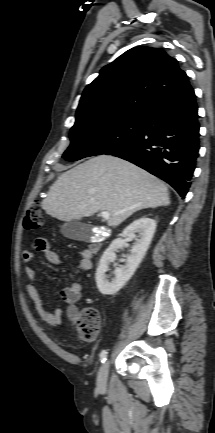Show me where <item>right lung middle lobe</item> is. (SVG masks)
Here are the masks:
<instances>
[{
	"label": "right lung middle lobe",
	"instance_id": "obj_1",
	"mask_svg": "<svg viewBox=\"0 0 215 433\" xmlns=\"http://www.w3.org/2000/svg\"><path fill=\"white\" fill-rule=\"evenodd\" d=\"M143 125V115H124L86 123H75L71 145L64 152L67 161L106 154L130 143Z\"/></svg>",
	"mask_w": 215,
	"mask_h": 433
}]
</instances>
